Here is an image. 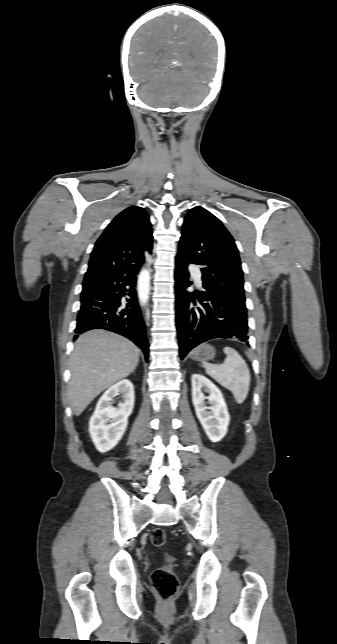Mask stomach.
<instances>
[{
	"mask_svg": "<svg viewBox=\"0 0 337 644\" xmlns=\"http://www.w3.org/2000/svg\"><path fill=\"white\" fill-rule=\"evenodd\" d=\"M215 357V349L209 344H203L197 347L191 353V358L195 361H208L212 360Z\"/></svg>",
	"mask_w": 337,
	"mask_h": 644,
	"instance_id": "0dacf381",
	"label": "stomach"
}]
</instances>
